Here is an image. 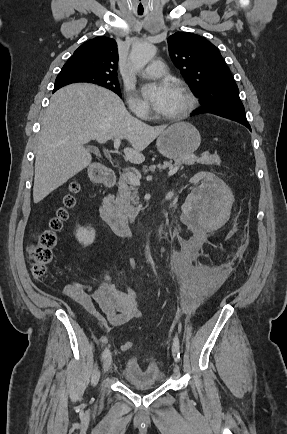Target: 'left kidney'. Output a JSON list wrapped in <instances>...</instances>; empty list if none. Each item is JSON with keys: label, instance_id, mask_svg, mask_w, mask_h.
Returning a JSON list of instances; mask_svg holds the SVG:
<instances>
[{"label": "left kidney", "instance_id": "left-kidney-1", "mask_svg": "<svg viewBox=\"0 0 287 434\" xmlns=\"http://www.w3.org/2000/svg\"><path fill=\"white\" fill-rule=\"evenodd\" d=\"M198 181H201V185L188 195L184 203V215L188 219L222 221L234 201L231 190L224 181L210 172L197 173L190 179V182Z\"/></svg>", "mask_w": 287, "mask_h": 434}]
</instances>
